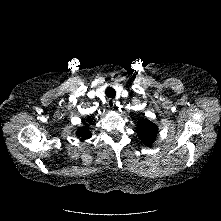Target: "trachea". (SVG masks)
<instances>
[{
    "instance_id": "3493384b",
    "label": "trachea",
    "mask_w": 221,
    "mask_h": 221,
    "mask_svg": "<svg viewBox=\"0 0 221 221\" xmlns=\"http://www.w3.org/2000/svg\"><path fill=\"white\" fill-rule=\"evenodd\" d=\"M105 93H106V96H107L108 98H114L115 95H116L115 89L112 88V87H108V88L106 89Z\"/></svg>"
}]
</instances>
